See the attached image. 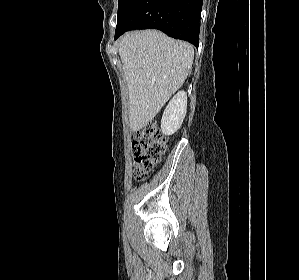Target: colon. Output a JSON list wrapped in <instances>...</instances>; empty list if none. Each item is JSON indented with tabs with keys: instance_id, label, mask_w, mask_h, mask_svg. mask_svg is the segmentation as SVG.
Here are the masks:
<instances>
[{
	"instance_id": "obj_1",
	"label": "colon",
	"mask_w": 299,
	"mask_h": 280,
	"mask_svg": "<svg viewBox=\"0 0 299 280\" xmlns=\"http://www.w3.org/2000/svg\"><path fill=\"white\" fill-rule=\"evenodd\" d=\"M168 144L158 122L151 121L136 132L132 141L134 155V175L137 180H144L161 161Z\"/></svg>"
}]
</instances>
